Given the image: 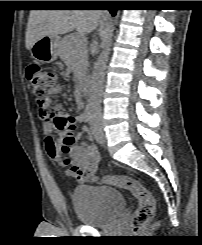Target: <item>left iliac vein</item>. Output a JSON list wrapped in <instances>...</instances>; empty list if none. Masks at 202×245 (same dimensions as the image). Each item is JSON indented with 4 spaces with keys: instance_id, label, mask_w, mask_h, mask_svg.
<instances>
[{
    "instance_id": "1",
    "label": "left iliac vein",
    "mask_w": 202,
    "mask_h": 245,
    "mask_svg": "<svg viewBox=\"0 0 202 245\" xmlns=\"http://www.w3.org/2000/svg\"><path fill=\"white\" fill-rule=\"evenodd\" d=\"M91 134L93 138L100 144H103L106 140V134L103 130L102 122L98 118H94L90 121Z\"/></svg>"
}]
</instances>
